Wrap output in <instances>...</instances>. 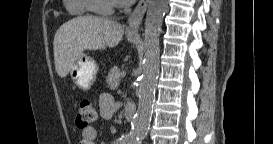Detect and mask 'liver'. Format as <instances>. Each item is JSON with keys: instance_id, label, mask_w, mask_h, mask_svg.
<instances>
[{"instance_id": "6515ba94", "label": "liver", "mask_w": 273, "mask_h": 144, "mask_svg": "<svg viewBox=\"0 0 273 144\" xmlns=\"http://www.w3.org/2000/svg\"><path fill=\"white\" fill-rule=\"evenodd\" d=\"M124 26L116 21L79 16L65 22L55 33L53 49L57 74L64 78L84 50H104L116 46Z\"/></svg>"}]
</instances>
